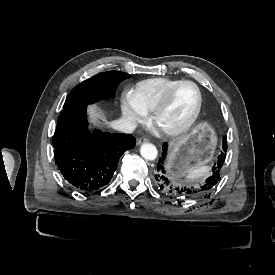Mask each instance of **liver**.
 Returning a JSON list of instances; mask_svg holds the SVG:
<instances>
[{"label":"liver","instance_id":"6515ba94","mask_svg":"<svg viewBox=\"0 0 275 275\" xmlns=\"http://www.w3.org/2000/svg\"><path fill=\"white\" fill-rule=\"evenodd\" d=\"M87 112L89 115V121L94 125H100L101 121H103L111 126V123L107 122L105 114L97 105H89Z\"/></svg>","mask_w":275,"mask_h":275}]
</instances>
